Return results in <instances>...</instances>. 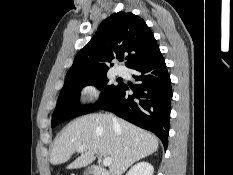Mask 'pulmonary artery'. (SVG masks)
<instances>
[{
    "mask_svg": "<svg viewBox=\"0 0 233 175\" xmlns=\"http://www.w3.org/2000/svg\"><path fill=\"white\" fill-rule=\"evenodd\" d=\"M116 72H117L118 75H124L125 74V70L122 67H118L116 69Z\"/></svg>",
    "mask_w": 233,
    "mask_h": 175,
    "instance_id": "1",
    "label": "pulmonary artery"
}]
</instances>
